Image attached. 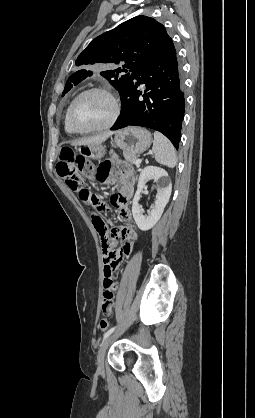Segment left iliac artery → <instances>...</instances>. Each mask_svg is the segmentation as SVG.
Listing matches in <instances>:
<instances>
[{
  "label": "left iliac artery",
  "instance_id": "obj_1",
  "mask_svg": "<svg viewBox=\"0 0 255 418\" xmlns=\"http://www.w3.org/2000/svg\"><path fill=\"white\" fill-rule=\"evenodd\" d=\"M116 329V326H114V327H112V328H110L105 334H104V336H103V340H105L108 336H110L113 332H114V330Z\"/></svg>",
  "mask_w": 255,
  "mask_h": 418
}]
</instances>
